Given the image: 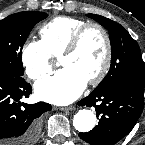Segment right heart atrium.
Wrapping results in <instances>:
<instances>
[{"mask_svg": "<svg viewBox=\"0 0 145 145\" xmlns=\"http://www.w3.org/2000/svg\"><path fill=\"white\" fill-rule=\"evenodd\" d=\"M21 61L31 80L41 79L52 72V56L41 41H27L21 50Z\"/></svg>", "mask_w": 145, "mask_h": 145, "instance_id": "right-heart-atrium-1", "label": "right heart atrium"}]
</instances>
